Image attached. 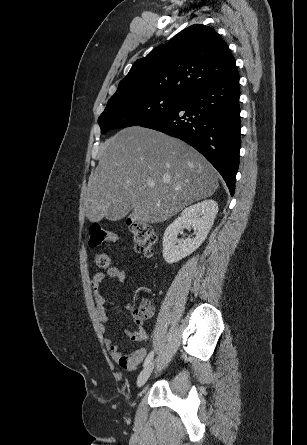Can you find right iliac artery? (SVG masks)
Instances as JSON below:
<instances>
[{
  "label": "right iliac artery",
  "instance_id": "1",
  "mask_svg": "<svg viewBox=\"0 0 307 445\" xmlns=\"http://www.w3.org/2000/svg\"><path fill=\"white\" fill-rule=\"evenodd\" d=\"M153 356H154V351H151V352L147 355V357H146V359H145V361H144V364H143L144 367L147 366V365L151 362Z\"/></svg>",
  "mask_w": 307,
  "mask_h": 445
}]
</instances>
